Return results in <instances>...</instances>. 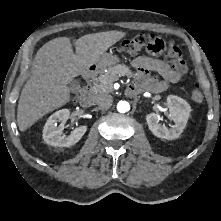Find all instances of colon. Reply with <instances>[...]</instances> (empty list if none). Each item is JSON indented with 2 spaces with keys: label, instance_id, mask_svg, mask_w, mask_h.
I'll return each mask as SVG.
<instances>
[{
  "label": "colon",
  "instance_id": "colon-1",
  "mask_svg": "<svg viewBox=\"0 0 221 221\" xmlns=\"http://www.w3.org/2000/svg\"><path fill=\"white\" fill-rule=\"evenodd\" d=\"M122 49L131 56H135L143 50L155 53L166 52L167 59L174 70L181 74L185 73L188 68L183 53L175 42H166L153 34H139L126 39L122 42ZM189 96L195 103L203 101V94L198 84L189 90Z\"/></svg>",
  "mask_w": 221,
  "mask_h": 221
}]
</instances>
